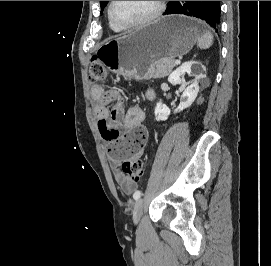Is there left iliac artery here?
Instances as JSON below:
<instances>
[{
  "instance_id": "1",
  "label": "left iliac artery",
  "mask_w": 271,
  "mask_h": 266,
  "mask_svg": "<svg viewBox=\"0 0 271 266\" xmlns=\"http://www.w3.org/2000/svg\"><path fill=\"white\" fill-rule=\"evenodd\" d=\"M142 195V192L140 190L136 191L134 194H133V198L135 200H138Z\"/></svg>"
}]
</instances>
